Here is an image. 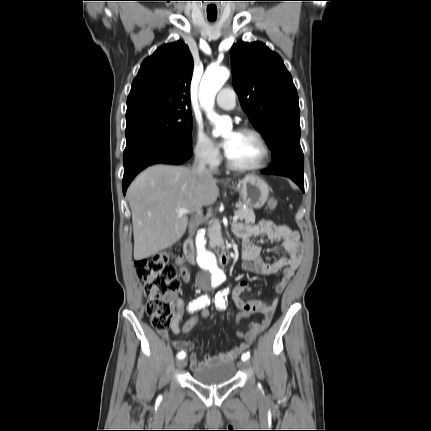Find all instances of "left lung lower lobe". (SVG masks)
<instances>
[{
    "mask_svg": "<svg viewBox=\"0 0 431 431\" xmlns=\"http://www.w3.org/2000/svg\"><path fill=\"white\" fill-rule=\"evenodd\" d=\"M304 157L285 155L272 163V168L264 174L282 175L291 178L304 191Z\"/></svg>",
    "mask_w": 431,
    "mask_h": 431,
    "instance_id": "1",
    "label": "left lung lower lobe"
}]
</instances>
